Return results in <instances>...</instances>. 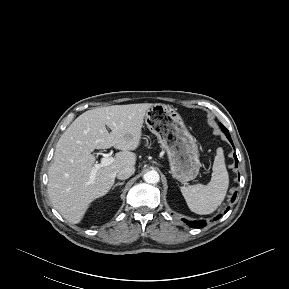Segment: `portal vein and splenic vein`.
Instances as JSON below:
<instances>
[{
  "mask_svg": "<svg viewBox=\"0 0 289 289\" xmlns=\"http://www.w3.org/2000/svg\"><path fill=\"white\" fill-rule=\"evenodd\" d=\"M114 162V158L110 154H105L104 157L101 159L100 164H96L94 168L92 169V172L90 174V182H93L95 179V175L97 170L100 167L108 166Z\"/></svg>",
  "mask_w": 289,
  "mask_h": 289,
  "instance_id": "18ae733b",
  "label": "portal vein and splenic vein"
}]
</instances>
